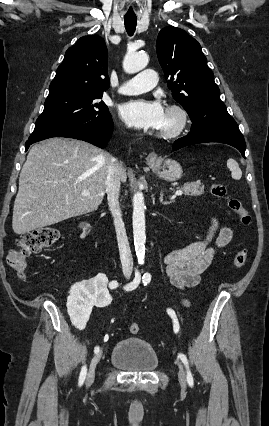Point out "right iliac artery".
<instances>
[{
	"instance_id": "obj_1",
	"label": "right iliac artery",
	"mask_w": 269,
	"mask_h": 426,
	"mask_svg": "<svg viewBox=\"0 0 269 426\" xmlns=\"http://www.w3.org/2000/svg\"><path fill=\"white\" fill-rule=\"evenodd\" d=\"M140 280H141V275L138 271H136L134 280L131 283L127 284L124 288L127 291L134 290L135 288L138 287ZM117 286H118V283L116 281H112V282L109 283V287L111 289H114ZM97 352H99L98 346H96L94 348V353H97ZM86 374H87V368H86V366H83L82 369H81V372H80V376H79V382H78L79 386H81L84 383L85 378H86Z\"/></svg>"
}]
</instances>
